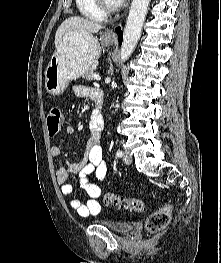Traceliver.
I'll use <instances>...</instances> for the list:
<instances>
[{
    "mask_svg": "<svg viewBox=\"0 0 221 263\" xmlns=\"http://www.w3.org/2000/svg\"><path fill=\"white\" fill-rule=\"evenodd\" d=\"M102 26L96 22L84 19L82 17H69L58 27L55 35V46L58 47L62 37L72 31H83L87 33H97Z\"/></svg>",
    "mask_w": 221,
    "mask_h": 263,
    "instance_id": "obj_1",
    "label": "liver"
}]
</instances>
